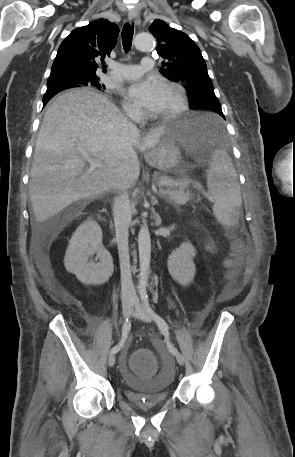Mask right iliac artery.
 Segmentation results:
<instances>
[{
	"instance_id": "obj_1",
	"label": "right iliac artery",
	"mask_w": 295,
	"mask_h": 457,
	"mask_svg": "<svg viewBox=\"0 0 295 457\" xmlns=\"http://www.w3.org/2000/svg\"><path fill=\"white\" fill-rule=\"evenodd\" d=\"M130 327H131V323H130V320L127 318L123 325V328H122V339L118 345H116L115 347H113L111 349V353H116L123 347L125 340L127 339Z\"/></svg>"
}]
</instances>
